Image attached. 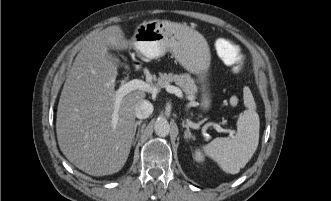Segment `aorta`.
Masks as SVG:
<instances>
[{"label": "aorta", "instance_id": "762f6f07", "mask_svg": "<svg viewBox=\"0 0 331 201\" xmlns=\"http://www.w3.org/2000/svg\"><path fill=\"white\" fill-rule=\"evenodd\" d=\"M156 135L165 137L170 133V125L165 118H158L154 125Z\"/></svg>", "mask_w": 331, "mask_h": 201}]
</instances>
